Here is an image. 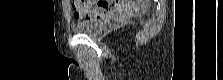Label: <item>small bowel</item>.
Masks as SVG:
<instances>
[{
	"mask_svg": "<svg viewBox=\"0 0 223 80\" xmlns=\"http://www.w3.org/2000/svg\"><path fill=\"white\" fill-rule=\"evenodd\" d=\"M77 18H86L90 19L93 17L100 16L105 12L111 10H118L121 7V4L118 2L115 3H97L94 7L91 3H78L75 2L72 5Z\"/></svg>",
	"mask_w": 223,
	"mask_h": 80,
	"instance_id": "1",
	"label": "small bowel"
}]
</instances>
